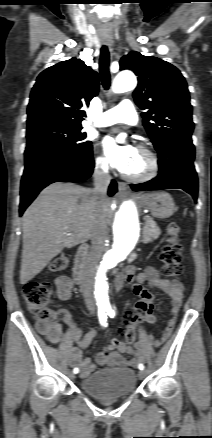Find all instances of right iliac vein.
<instances>
[{
  "label": "right iliac vein",
  "instance_id": "right-iliac-vein-1",
  "mask_svg": "<svg viewBox=\"0 0 212 438\" xmlns=\"http://www.w3.org/2000/svg\"><path fill=\"white\" fill-rule=\"evenodd\" d=\"M69 376H70L71 378H75V376H74L73 374H71V373H70V375H69Z\"/></svg>",
  "mask_w": 212,
  "mask_h": 438
}]
</instances>
